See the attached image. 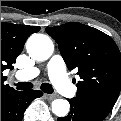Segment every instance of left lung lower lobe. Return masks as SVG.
<instances>
[{
	"mask_svg": "<svg viewBox=\"0 0 121 121\" xmlns=\"http://www.w3.org/2000/svg\"><path fill=\"white\" fill-rule=\"evenodd\" d=\"M71 110L66 117L58 118V121H103L106 117L82 106L74 99H68Z\"/></svg>",
	"mask_w": 121,
	"mask_h": 121,
	"instance_id": "1",
	"label": "left lung lower lobe"
}]
</instances>
